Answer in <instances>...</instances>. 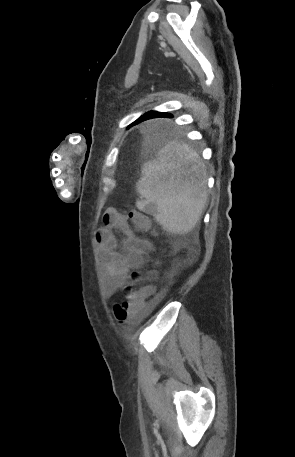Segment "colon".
<instances>
[{"mask_svg": "<svg viewBox=\"0 0 295 457\" xmlns=\"http://www.w3.org/2000/svg\"><path fill=\"white\" fill-rule=\"evenodd\" d=\"M129 218L132 223L142 231H149L151 228V221L148 216L132 210L129 213ZM148 277H153L154 273L149 272ZM132 278L136 280L138 273L133 272ZM150 295L148 287H142L138 290H131L125 300L114 306V316L119 324L126 325L138 321L146 302V298Z\"/></svg>", "mask_w": 295, "mask_h": 457, "instance_id": "obj_1", "label": "colon"}]
</instances>
